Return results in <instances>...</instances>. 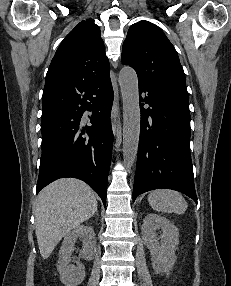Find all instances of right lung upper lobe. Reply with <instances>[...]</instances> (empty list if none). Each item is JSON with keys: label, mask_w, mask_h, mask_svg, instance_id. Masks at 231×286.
<instances>
[{"label": "right lung upper lobe", "mask_w": 231, "mask_h": 286, "mask_svg": "<svg viewBox=\"0 0 231 286\" xmlns=\"http://www.w3.org/2000/svg\"><path fill=\"white\" fill-rule=\"evenodd\" d=\"M109 61L93 19L81 21L62 41L46 75L43 110L55 109L79 88L105 80Z\"/></svg>", "instance_id": "obj_1"}]
</instances>
